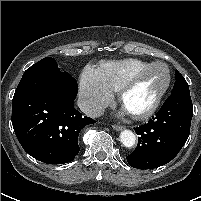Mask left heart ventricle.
<instances>
[{
    "mask_svg": "<svg viewBox=\"0 0 201 201\" xmlns=\"http://www.w3.org/2000/svg\"><path fill=\"white\" fill-rule=\"evenodd\" d=\"M167 71L161 66L153 67L125 96L123 107L129 113L147 108L162 90Z\"/></svg>",
    "mask_w": 201,
    "mask_h": 201,
    "instance_id": "left-heart-ventricle-1",
    "label": "left heart ventricle"
}]
</instances>
